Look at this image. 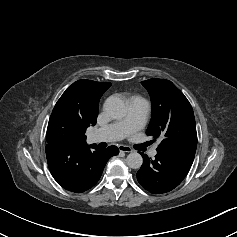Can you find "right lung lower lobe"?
I'll use <instances>...</instances> for the list:
<instances>
[{
    "instance_id": "1",
    "label": "right lung lower lobe",
    "mask_w": 237,
    "mask_h": 237,
    "mask_svg": "<svg viewBox=\"0 0 237 237\" xmlns=\"http://www.w3.org/2000/svg\"><path fill=\"white\" fill-rule=\"evenodd\" d=\"M118 153L116 146L100 149L94 144L88 146L86 143L49 142L46 145L48 167L54 179L64 189L77 193L94 186L107 161Z\"/></svg>"
}]
</instances>
